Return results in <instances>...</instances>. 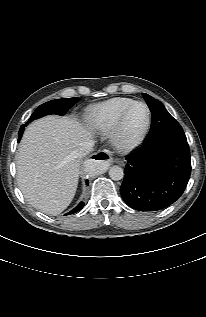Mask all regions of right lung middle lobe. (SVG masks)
<instances>
[{"label": "right lung middle lobe", "instance_id": "1", "mask_svg": "<svg viewBox=\"0 0 206 317\" xmlns=\"http://www.w3.org/2000/svg\"><path fill=\"white\" fill-rule=\"evenodd\" d=\"M78 101L77 97L73 98H64V99H56L46 102L40 105L35 112L32 114L31 118L28 122L38 119L40 117L49 115V114H57L64 115L69 108H71ZM28 122L20 128L19 137L21 138L24 127L28 124Z\"/></svg>", "mask_w": 206, "mask_h": 317}]
</instances>
